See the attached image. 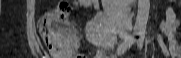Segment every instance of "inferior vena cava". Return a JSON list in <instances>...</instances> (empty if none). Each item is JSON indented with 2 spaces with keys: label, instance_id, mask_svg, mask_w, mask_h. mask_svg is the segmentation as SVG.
I'll return each mask as SVG.
<instances>
[{
  "label": "inferior vena cava",
  "instance_id": "inferior-vena-cava-1",
  "mask_svg": "<svg viewBox=\"0 0 181 58\" xmlns=\"http://www.w3.org/2000/svg\"><path fill=\"white\" fill-rule=\"evenodd\" d=\"M130 11H131V9L128 7V8H126L125 12L122 15L121 31L124 34H127L132 29V20H131Z\"/></svg>",
  "mask_w": 181,
  "mask_h": 58
}]
</instances>
